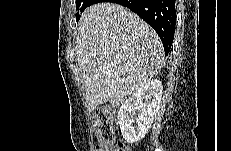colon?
Returning a JSON list of instances; mask_svg holds the SVG:
<instances>
[{"instance_id": "colon-1", "label": "colon", "mask_w": 231, "mask_h": 151, "mask_svg": "<svg viewBox=\"0 0 231 151\" xmlns=\"http://www.w3.org/2000/svg\"><path fill=\"white\" fill-rule=\"evenodd\" d=\"M116 113L114 109H99L95 112V130L101 143L95 151H129L124 143L113 145L114 141V121Z\"/></svg>"}]
</instances>
